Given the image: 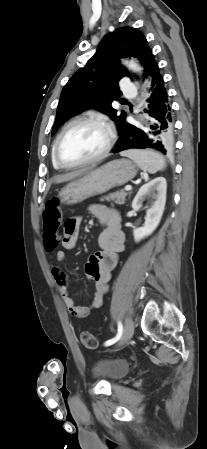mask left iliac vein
<instances>
[{
	"label": "left iliac vein",
	"instance_id": "left-iliac-vein-1",
	"mask_svg": "<svg viewBox=\"0 0 207 449\" xmlns=\"http://www.w3.org/2000/svg\"><path fill=\"white\" fill-rule=\"evenodd\" d=\"M133 333H134V322L131 318H127L124 332L121 338L119 339L118 346L124 345L129 339H131Z\"/></svg>",
	"mask_w": 207,
	"mask_h": 449
}]
</instances>
